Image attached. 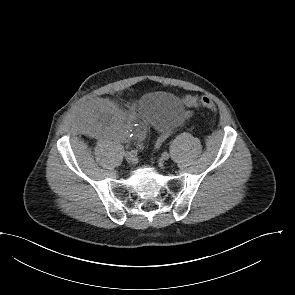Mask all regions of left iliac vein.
I'll return each instance as SVG.
<instances>
[{
  "instance_id": "left-iliac-vein-1",
  "label": "left iliac vein",
  "mask_w": 295,
  "mask_h": 295,
  "mask_svg": "<svg viewBox=\"0 0 295 295\" xmlns=\"http://www.w3.org/2000/svg\"><path fill=\"white\" fill-rule=\"evenodd\" d=\"M169 159V154L167 153L164 157L162 156L160 159V166L163 167L165 164V161Z\"/></svg>"
}]
</instances>
